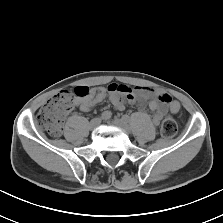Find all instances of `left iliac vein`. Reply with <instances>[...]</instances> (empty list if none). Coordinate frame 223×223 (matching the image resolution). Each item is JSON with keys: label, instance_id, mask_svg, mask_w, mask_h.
I'll return each instance as SVG.
<instances>
[{"label": "left iliac vein", "instance_id": "left-iliac-vein-1", "mask_svg": "<svg viewBox=\"0 0 223 223\" xmlns=\"http://www.w3.org/2000/svg\"><path fill=\"white\" fill-rule=\"evenodd\" d=\"M112 123L123 129L125 132H130V127L124 119H114L112 120Z\"/></svg>", "mask_w": 223, "mask_h": 223}]
</instances>
